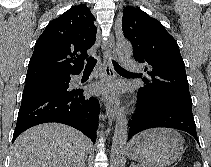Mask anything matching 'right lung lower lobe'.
<instances>
[{
    "label": "right lung lower lobe",
    "mask_w": 211,
    "mask_h": 167,
    "mask_svg": "<svg viewBox=\"0 0 211 167\" xmlns=\"http://www.w3.org/2000/svg\"><path fill=\"white\" fill-rule=\"evenodd\" d=\"M99 113L98 100L84 96L83 89L23 94L13 142L26 129L47 122L67 124L95 141Z\"/></svg>",
    "instance_id": "right-lung-lower-lobe-1"
}]
</instances>
